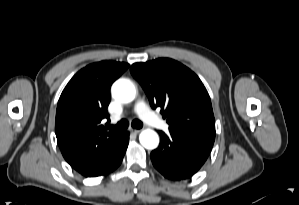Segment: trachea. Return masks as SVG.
Here are the masks:
<instances>
[{"label": "trachea", "instance_id": "trachea-1", "mask_svg": "<svg viewBox=\"0 0 299 205\" xmlns=\"http://www.w3.org/2000/svg\"><path fill=\"white\" fill-rule=\"evenodd\" d=\"M129 123L126 119H122L116 125H108V128L111 130H116L118 132L124 131L128 128ZM131 126L135 129H140L143 127V123L140 120L134 119L131 123Z\"/></svg>", "mask_w": 299, "mask_h": 205}]
</instances>
